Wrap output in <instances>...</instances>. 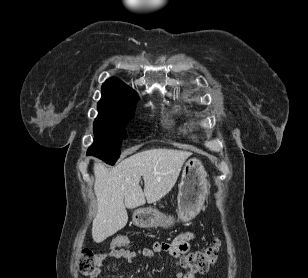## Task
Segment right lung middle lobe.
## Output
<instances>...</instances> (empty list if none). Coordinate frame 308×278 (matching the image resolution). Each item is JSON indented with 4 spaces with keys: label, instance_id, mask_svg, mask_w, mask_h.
Here are the masks:
<instances>
[{
    "label": "right lung middle lobe",
    "instance_id": "obj_1",
    "mask_svg": "<svg viewBox=\"0 0 308 278\" xmlns=\"http://www.w3.org/2000/svg\"><path fill=\"white\" fill-rule=\"evenodd\" d=\"M128 120H96L94 122V143L89 147L87 155L96 156L107 163L115 164L120 155L122 139L126 137L125 127Z\"/></svg>",
    "mask_w": 308,
    "mask_h": 278
}]
</instances>
